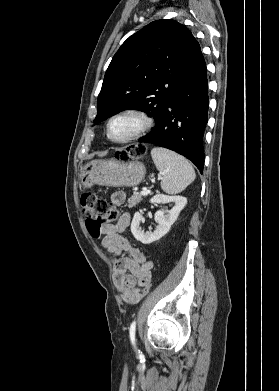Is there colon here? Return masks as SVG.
<instances>
[{
  "instance_id": "5ec220e1",
  "label": "colon",
  "mask_w": 279,
  "mask_h": 391,
  "mask_svg": "<svg viewBox=\"0 0 279 391\" xmlns=\"http://www.w3.org/2000/svg\"><path fill=\"white\" fill-rule=\"evenodd\" d=\"M146 148L143 145L133 146L118 152L119 160L126 162L133 158H142ZM81 205L83 214L86 218V225L90 235L94 238H99L101 235V227L105 219L115 218L116 210L111 209L108 202L94 193L87 192L81 197ZM151 288V283L146 284L142 289V296H146Z\"/></svg>"
}]
</instances>
